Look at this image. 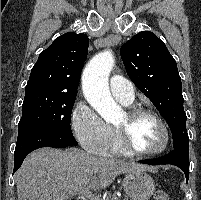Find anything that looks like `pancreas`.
<instances>
[{
    "mask_svg": "<svg viewBox=\"0 0 201 200\" xmlns=\"http://www.w3.org/2000/svg\"><path fill=\"white\" fill-rule=\"evenodd\" d=\"M106 200H117V198L115 196H113L112 198L111 197H107Z\"/></svg>",
    "mask_w": 201,
    "mask_h": 200,
    "instance_id": "obj_1",
    "label": "pancreas"
}]
</instances>
